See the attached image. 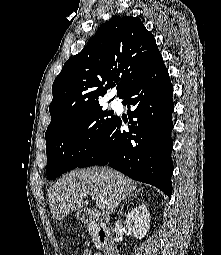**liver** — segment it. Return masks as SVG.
I'll return each instance as SVG.
<instances>
[{"instance_id": "liver-1", "label": "liver", "mask_w": 221, "mask_h": 255, "mask_svg": "<svg viewBox=\"0 0 221 255\" xmlns=\"http://www.w3.org/2000/svg\"><path fill=\"white\" fill-rule=\"evenodd\" d=\"M137 184L109 167L74 170L57 180L48 190L53 218L63 220L68 214L85 208L88 196L102 201L106 214L115 212L119 203L137 192Z\"/></svg>"}]
</instances>
